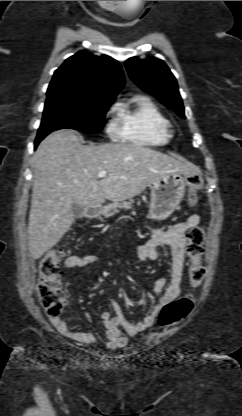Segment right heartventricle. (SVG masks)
<instances>
[{
    "label": "right heart ventricle",
    "instance_id": "e07e8e85",
    "mask_svg": "<svg viewBox=\"0 0 242 416\" xmlns=\"http://www.w3.org/2000/svg\"><path fill=\"white\" fill-rule=\"evenodd\" d=\"M115 110V135L121 141L143 146H161L170 141L169 121L147 97L135 96L117 103Z\"/></svg>",
    "mask_w": 242,
    "mask_h": 416
}]
</instances>
